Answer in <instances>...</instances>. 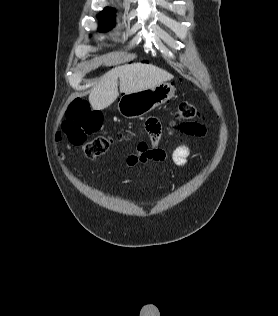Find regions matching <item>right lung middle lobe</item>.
<instances>
[{"label": "right lung middle lobe", "instance_id": "dd1d6c3e", "mask_svg": "<svg viewBox=\"0 0 278 316\" xmlns=\"http://www.w3.org/2000/svg\"><path fill=\"white\" fill-rule=\"evenodd\" d=\"M98 19L100 21V32H106L114 26V15L111 12L102 11Z\"/></svg>", "mask_w": 278, "mask_h": 316}]
</instances>
